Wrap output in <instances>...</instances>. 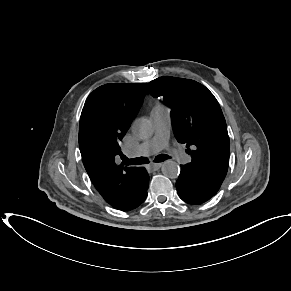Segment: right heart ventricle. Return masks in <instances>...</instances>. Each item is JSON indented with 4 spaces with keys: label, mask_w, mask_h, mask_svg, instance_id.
<instances>
[{
    "label": "right heart ventricle",
    "mask_w": 291,
    "mask_h": 291,
    "mask_svg": "<svg viewBox=\"0 0 291 291\" xmlns=\"http://www.w3.org/2000/svg\"><path fill=\"white\" fill-rule=\"evenodd\" d=\"M163 109H165V108H164L162 105H160V104H156V105L153 107L151 113H152V112H158V111H161V110H163Z\"/></svg>",
    "instance_id": "e07e8e85"
}]
</instances>
